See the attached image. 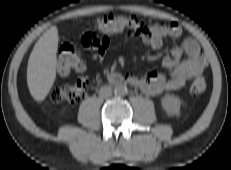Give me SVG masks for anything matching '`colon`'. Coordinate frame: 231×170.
Here are the masks:
<instances>
[{"instance_id":"1","label":"colon","mask_w":231,"mask_h":170,"mask_svg":"<svg viewBox=\"0 0 231 170\" xmlns=\"http://www.w3.org/2000/svg\"><path fill=\"white\" fill-rule=\"evenodd\" d=\"M94 29L99 33L114 35L121 32L139 35L144 31L145 25L135 16L110 13L97 18L93 23ZM84 62L73 46L64 45L58 54L57 71L61 75L77 73L76 81L57 87L50 92V99L57 103H76L87 92L88 80L83 75ZM206 90V81L203 77L195 78L190 86L193 95L202 94Z\"/></svg>"}]
</instances>
